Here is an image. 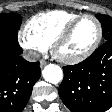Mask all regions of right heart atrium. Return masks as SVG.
<instances>
[{
	"label": "right heart atrium",
	"instance_id": "obj_1",
	"mask_svg": "<svg viewBox=\"0 0 112 112\" xmlns=\"http://www.w3.org/2000/svg\"><path fill=\"white\" fill-rule=\"evenodd\" d=\"M18 42L31 57H36L38 54L44 53L48 49V46L35 37L28 30L27 26H24L19 30Z\"/></svg>",
	"mask_w": 112,
	"mask_h": 112
}]
</instances>
